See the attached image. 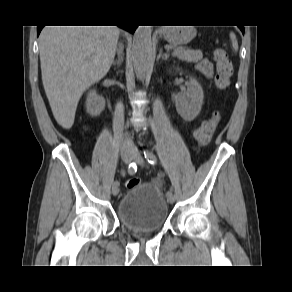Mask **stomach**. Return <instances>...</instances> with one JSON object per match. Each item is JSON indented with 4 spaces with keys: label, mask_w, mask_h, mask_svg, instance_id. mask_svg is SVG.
Listing matches in <instances>:
<instances>
[{
    "label": "stomach",
    "mask_w": 292,
    "mask_h": 292,
    "mask_svg": "<svg viewBox=\"0 0 292 292\" xmlns=\"http://www.w3.org/2000/svg\"><path fill=\"white\" fill-rule=\"evenodd\" d=\"M195 36V31L188 27H169L164 31V38L171 44L181 45L189 42Z\"/></svg>",
    "instance_id": "1"
}]
</instances>
